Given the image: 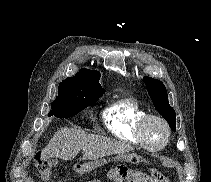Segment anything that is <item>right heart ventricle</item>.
Returning <instances> with one entry per match:
<instances>
[{"mask_svg":"<svg viewBox=\"0 0 211 182\" xmlns=\"http://www.w3.org/2000/svg\"><path fill=\"white\" fill-rule=\"evenodd\" d=\"M146 110L132 97H122L108 105L103 111V121L108 130L118 139L140 146L137 126L146 115Z\"/></svg>","mask_w":211,"mask_h":182,"instance_id":"e07e8e85","label":"right heart ventricle"}]
</instances>
